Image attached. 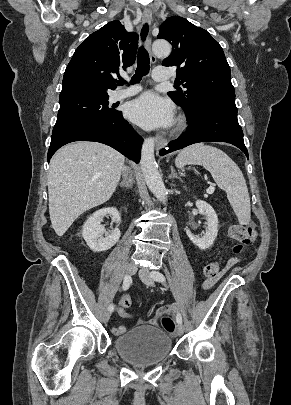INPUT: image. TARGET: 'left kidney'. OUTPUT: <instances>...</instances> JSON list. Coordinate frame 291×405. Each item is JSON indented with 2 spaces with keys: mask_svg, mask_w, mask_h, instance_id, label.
I'll return each instance as SVG.
<instances>
[{
  "mask_svg": "<svg viewBox=\"0 0 291 405\" xmlns=\"http://www.w3.org/2000/svg\"><path fill=\"white\" fill-rule=\"evenodd\" d=\"M196 207L200 214L207 219L206 232L202 238L195 236L190 230H186L189 239L201 250L210 248L213 245L218 233V218L215 210L210 204L203 200L196 201Z\"/></svg>",
  "mask_w": 291,
  "mask_h": 405,
  "instance_id": "1",
  "label": "left kidney"
}]
</instances>
